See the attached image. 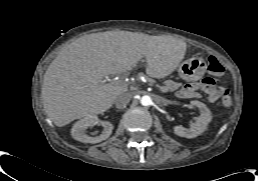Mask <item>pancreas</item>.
Segmentation results:
<instances>
[{"label":"pancreas","mask_w":258,"mask_h":181,"mask_svg":"<svg viewBox=\"0 0 258 181\" xmlns=\"http://www.w3.org/2000/svg\"><path fill=\"white\" fill-rule=\"evenodd\" d=\"M165 85H166L165 88L168 91H175V90H177L181 86L180 83L174 82L172 80L165 81Z\"/></svg>","instance_id":"obj_1"}]
</instances>
